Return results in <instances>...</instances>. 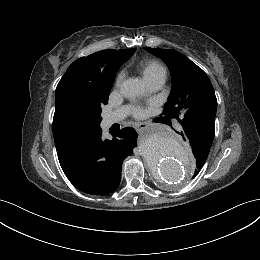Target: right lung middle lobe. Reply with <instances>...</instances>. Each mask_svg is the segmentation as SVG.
I'll return each mask as SVG.
<instances>
[{
	"mask_svg": "<svg viewBox=\"0 0 260 260\" xmlns=\"http://www.w3.org/2000/svg\"><path fill=\"white\" fill-rule=\"evenodd\" d=\"M119 66L106 76L87 81L66 80L56 88L55 114L69 134L100 127L102 106L108 103Z\"/></svg>",
	"mask_w": 260,
	"mask_h": 260,
	"instance_id": "dd1d6c3e",
	"label": "right lung middle lobe"
}]
</instances>
